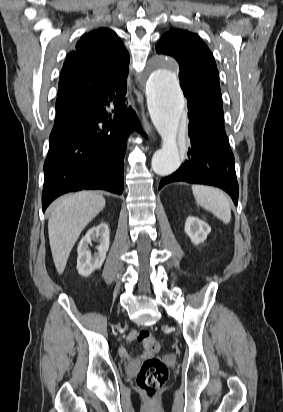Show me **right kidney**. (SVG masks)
Wrapping results in <instances>:
<instances>
[{"label":"right kidney","mask_w":283,"mask_h":412,"mask_svg":"<svg viewBox=\"0 0 283 412\" xmlns=\"http://www.w3.org/2000/svg\"><path fill=\"white\" fill-rule=\"evenodd\" d=\"M92 241L98 242L96 252L91 254L89 245ZM109 249V228L105 223H101L96 227H92L81 239L77 253V270L82 276H89L94 270L100 269Z\"/></svg>","instance_id":"obj_1"}]
</instances>
